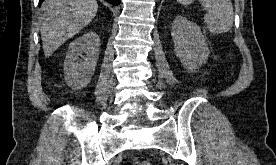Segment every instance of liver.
I'll return each mask as SVG.
<instances>
[{
	"instance_id": "6515ba94",
	"label": "liver",
	"mask_w": 276,
	"mask_h": 165,
	"mask_svg": "<svg viewBox=\"0 0 276 165\" xmlns=\"http://www.w3.org/2000/svg\"><path fill=\"white\" fill-rule=\"evenodd\" d=\"M41 10V39L49 57L94 19L98 4L96 0H46Z\"/></svg>"
}]
</instances>
